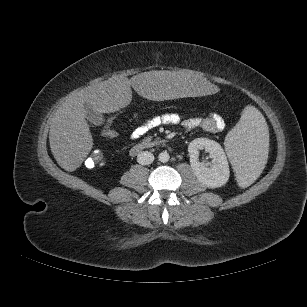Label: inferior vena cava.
I'll return each instance as SVG.
<instances>
[{
  "label": "inferior vena cava",
  "instance_id": "inferior-vena-cava-1",
  "mask_svg": "<svg viewBox=\"0 0 307 307\" xmlns=\"http://www.w3.org/2000/svg\"><path fill=\"white\" fill-rule=\"evenodd\" d=\"M154 161V155L149 151H142L137 156V162L141 165H149Z\"/></svg>",
  "mask_w": 307,
  "mask_h": 307
}]
</instances>
